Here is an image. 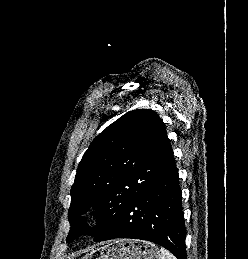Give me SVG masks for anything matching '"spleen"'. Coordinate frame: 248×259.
I'll return each instance as SVG.
<instances>
[{"label": "spleen", "mask_w": 248, "mask_h": 259, "mask_svg": "<svg viewBox=\"0 0 248 259\" xmlns=\"http://www.w3.org/2000/svg\"><path fill=\"white\" fill-rule=\"evenodd\" d=\"M161 259H177L173 254H171L167 249L161 248Z\"/></svg>", "instance_id": "1"}]
</instances>
